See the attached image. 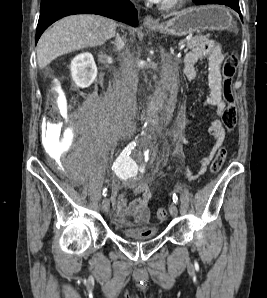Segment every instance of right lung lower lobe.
<instances>
[{
  "label": "right lung lower lobe",
  "instance_id": "right-lung-lower-lobe-1",
  "mask_svg": "<svg viewBox=\"0 0 267 298\" xmlns=\"http://www.w3.org/2000/svg\"><path fill=\"white\" fill-rule=\"evenodd\" d=\"M72 14H98L132 26L138 25L137 10L129 0H42L36 43L48 26Z\"/></svg>",
  "mask_w": 267,
  "mask_h": 298
}]
</instances>
